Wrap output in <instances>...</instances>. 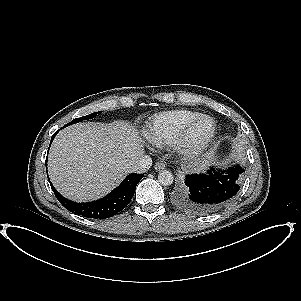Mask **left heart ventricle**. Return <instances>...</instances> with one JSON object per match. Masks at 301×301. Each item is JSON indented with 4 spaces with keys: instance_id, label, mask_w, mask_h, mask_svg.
I'll return each mask as SVG.
<instances>
[{
    "instance_id": "b2bd125f",
    "label": "left heart ventricle",
    "mask_w": 301,
    "mask_h": 301,
    "mask_svg": "<svg viewBox=\"0 0 301 301\" xmlns=\"http://www.w3.org/2000/svg\"><path fill=\"white\" fill-rule=\"evenodd\" d=\"M211 124L209 121H201L198 123L191 133V138L193 140H201L205 138L210 132Z\"/></svg>"
}]
</instances>
